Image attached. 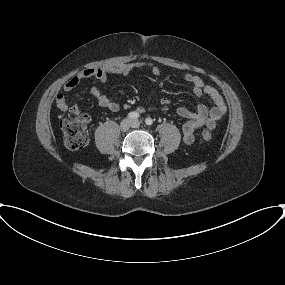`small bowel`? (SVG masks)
<instances>
[{"mask_svg":"<svg viewBox=\"0 0 285 285\" xmlns=\"http://www.w3.org/2000/svg\"><path fill=\"white\" fill-rule=\"evenodd\" d=\"M148 69L153 75H160V68L146 61H137L119 64L110 68H89L81 71L74 77L70 78L63 86V91L56 97L57 107L61 111H69L74 114L80 113L81 109L76 103H68L66 100L65 93H68L75 89L83 79L95 78L99 82H105L109 73H118L122 75H129L136 69ZM184 80L192 85L193 93L200 97L206 95L210 98L213 103L212 107L206 104H199L195 109H191L188 106H180L177 109L179 116L186 119V122L182 126V140L186 145H190L195 140V131L200 127L206 126L210 129L215 128L217 121L222 119L227 111L224 99L219 91L212 85L206 83L201 77L188 73L184 76ZM90 94L95 97L98 103L112 112L119 110L120 106L118 102L105 95L102 90L94 85L90 88ZM169 100L163 98L161 100L162 105H167ZM139 112H144V107L137 109ZM86 118L89 120L88 116Z\"/></svg>","mask_w":285,"mask_h":285,"instance_id":"obj_1","label":"small bowel"}]
</instances>
